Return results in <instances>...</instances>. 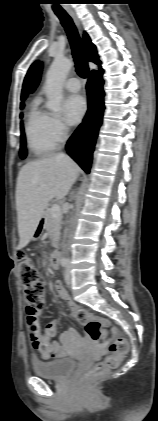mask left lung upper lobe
Returning <instances> with one entry per match:
<instances>
[{
	"instance_id": "left-lung-upper-lobe-1",
	"label": "left lung upper lobe",
	"mask_w": 158,
	"mask_h": 421,
	"mask_svg": "<svg viewBox=\"0 0 158 421\" xmlns=\"http://www.w3.org/2000/svg\"><path fill=\"white\" fill-rule=\"evenodd\" d=\"M40 73H41V67H40L39 72H38V74H37V76H36V79H35V82H34V84H33V86H32V90H31V92H33V91L35 90V88L37 87V85H38V83H39V80H40Z\"/></svg>"
}]
</instances>
